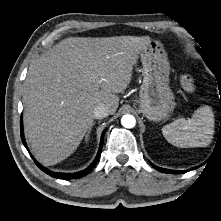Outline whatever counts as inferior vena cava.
Masks as SVG:
<instances>
[{
  "label": "inferior vena cava",
  "instance_id": "602c4592",
  "mask_svg": "<svg viewBox=\"0 0 221 221\" xmlns=\"http://www.w3.org/2000/svg\"><path fill=\"white\" fill-rule=\"evenodd\" d=\"M108 115H109V109L105 104H99L93 110V117L96 119L105 118Z\"/></svg>",
  "mask_w": 221,
  "mask_h": 221
}]
</instances>
